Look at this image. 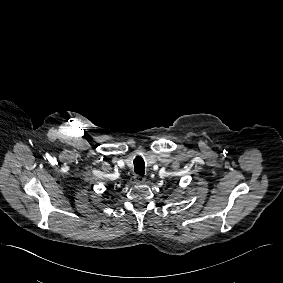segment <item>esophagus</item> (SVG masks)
I'll use <instances>...</instances> for the list:
<instances>
[{
    "instance_id": "obj_1",
    "label": "esophagus",
    "mask_w": 283,
    "mask_h": 283,
    "mask_svg": "<svg viewBox=\"0 0 283 283\" xmlns=\"http://www.w3.org/2000/svg\"><path fill=\"white\" fill-rule=\"evenodd\" d=\"M145 181H146V178L144 176H141V175L134 176V182L136 184H143Z\"/></svg>"
}]
</instances>
